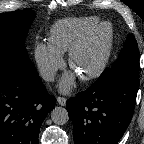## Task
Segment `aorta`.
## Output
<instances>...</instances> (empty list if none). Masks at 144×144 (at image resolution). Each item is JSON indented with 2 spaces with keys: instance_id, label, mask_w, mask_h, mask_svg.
<instances>
[{
  "instance_id": "1",
  "label": "aorta",
  "mask_w": 144,
  "mask_h": 144,
  "mask_svg": "<svg viewBox=\"0 0 144 144\" xmlns=\"http://www.w3.org/2000/svg\"><path fill=\"white\" fill-rule=\"evenodd\" d=\"M51 119L57 125L66 124L69 120L67 109L63 107H55L51 112Z\"/></svg>"
}]
</instances>
